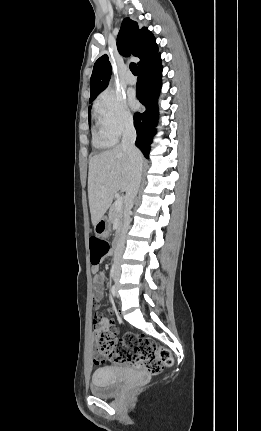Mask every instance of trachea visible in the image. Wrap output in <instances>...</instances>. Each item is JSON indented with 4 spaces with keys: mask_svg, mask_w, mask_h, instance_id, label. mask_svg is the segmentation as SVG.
<instances>
[{
    "mask_svg": "<svg viewBox=\"0 0 261 431\" xmlns=\"http://www.w3.org/2000/svg\"><path fill=\"white\" fill-rule=\"evenodd\" d=\"M130 70L134 75H138L137 65L135 63L130 64Z\"/></svg>",
    "mask_w": 261,
    "mask_h": 431,
    "instance_id": "1",
    "label": "trachea"
}]
</instances>
